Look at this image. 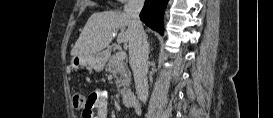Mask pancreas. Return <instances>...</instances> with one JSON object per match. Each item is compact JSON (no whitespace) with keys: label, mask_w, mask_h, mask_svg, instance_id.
Here are the masks:
<instances>
[{"label":"pancreas","mask_w":273,"mask_h":118,"mask_svg":"<svg viewBox=\"0 0 273 118\" xmlns=\"http://www.w3.org/2000/svg\"><path fill=\"white\" fill-rule=\"evenodd\" d=\"M106 71L113 73L117 90L120 94L131 91V72L124 59L119 58L116 54L112 55L108 60Z\"/></svg>","instance_id":"obj_1"}]
</instances>
